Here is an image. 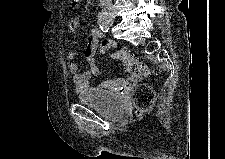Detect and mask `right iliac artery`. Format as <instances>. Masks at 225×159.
I'll use <instances>...</instances> for the list:
<instances>
[{"mask_svg":"<svg viewBox=\"0 0 225 159\" xmlns=\"http://www.w3.org/2000/svg\"><path fill=\"white\" fill-rule=\"evenodd\" d=\"M98 24L101 28V30L103 32H108L109 31V25H108V22L104 16V13H99L98 15Z\"/></svg>","mask_w":225,"mask_h":159,"instance_id":"right-iliac-artery-1","label":"right iliac artery"}]
</instances>
